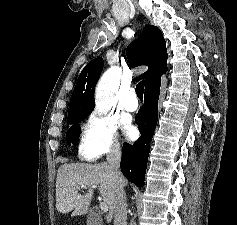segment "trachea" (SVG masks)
<instances>
[{"label": "trachea", "instance_id": "3493384b", "mask_svg": "<svg viewBox=\"0 0 237 225\" xmlns=\"http://www.w3.org/2000/svg\"><path fill=\"white\" fill-rule=\"evenodd\" d=\"M143 92H144V81H141L136 86V94L139 99H143Z\"/></svg>", "mask_w": 237, "mask_h": 225}]
</instances>
